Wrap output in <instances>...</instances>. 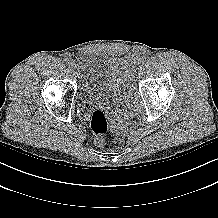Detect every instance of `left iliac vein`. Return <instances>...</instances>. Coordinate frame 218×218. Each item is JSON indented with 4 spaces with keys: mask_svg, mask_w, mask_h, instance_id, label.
I'll list each match as a JSON object with an SVG mask.
<instances>
[{
    "mask_svg": "<svg viewBox=\"0 0 218 218\" xmlns=\"http://www.w3.org/2000/svg\"><path fill=\"white\" fill-rule=\"evenodd\" d=\"M138 69H142V64H137L131 70L133 71V73H138Z\"/></svg>",
    "mask_w": 218,
    "mask_h": 218,
    "instance_id": "obj_1",
    "label": "left iliac vein"
}]
</instances>
